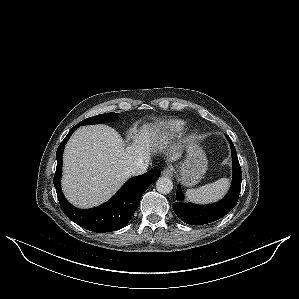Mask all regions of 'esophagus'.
<instances>
[{
  "label": "esophagus",
  "instance_id": "obj_1",
  "mask_svg": "<svg viewBox=\"0 0 299 299\" xmlns=\"http://www.w3.org/2000/svg\"><path fill=\"white\" fill-rule=\"evenodd\" d=\"M163 175L165 176V177H169V178H171V177H173V175H174V170H173V168L172 167H170V166H168V167H165L164 169H163Z\"/></svg>",
  "mask_w": 299,
  "mask_h": 299
}]
</instances>
